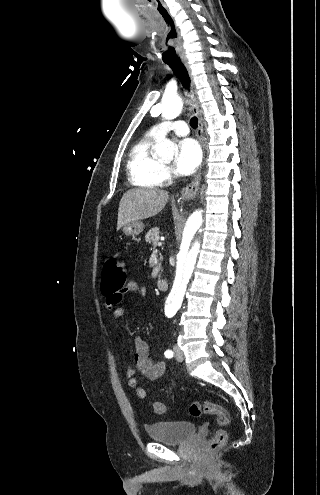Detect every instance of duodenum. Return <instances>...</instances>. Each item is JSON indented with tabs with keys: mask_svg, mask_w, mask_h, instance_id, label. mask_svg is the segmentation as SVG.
<instances>
[{
	"mask_svg": "<svg viewBox=\"0 0 320 495\" xmlns=\"http://www.w3.org/2000/svg\"><path fill=\"white\" fill-rule=\"evenodd\" d=\"M157 287L161 291H166L169 287V283L166 279H160L157 283Z\"/></svg>",
	"mask_w": 320,
	"mask_h": 495,
	"instance_id": "duodenum-1",
	"label": "duodenum"
}]
</instances>
